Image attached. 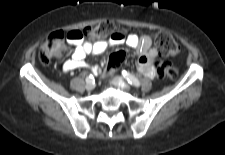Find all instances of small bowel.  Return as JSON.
Wrapping results in <instances>:
<instances>
[{
	"label": "small bowel",
	"mask_w": 225,
	"mask_h": 155,
	"mask_svg": "<svg viewBox=\"0 0 225 155\" xmlns=\"http://www.w3.org/2000/svg\"><path fill=\"white\" fill-rule=\"evenodd\" d=\"M67 40L74 45L71 58L64 63V70L71 71L88 66L85 57L89 54H101L107 50L108 47L126 44L133 48L138 55L137 67L139 71L148 78H153L156 71L152 68V63L157 59L158 51L152 46L150 36H138L135 33L128 35L111 36L108 40H100L96 42L81 41L82 33L78 29H71L67 33ZM92 71L97 74L100 72L98 66H93Z\"/></svg>",
	"instance_id": "c3829d8e"
}]
</instances>
